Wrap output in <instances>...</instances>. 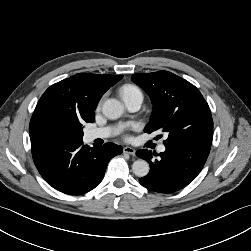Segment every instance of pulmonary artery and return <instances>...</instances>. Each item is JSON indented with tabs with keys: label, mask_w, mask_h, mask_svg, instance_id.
Wrapping results in <instances>:
<instances>
[{
	"label": "pulmonary artery",
	"mask_w": 251,
	"mask_h": 251,
	"mask_svg": "<svg viewBox=\"0 0 251 251\" xmlns=\"http://www.w3.org/2000/svg\"><path fill=\"white\" fill-rule=\"evenodd\" d=\"M127 108L130 111H137L140 109L143 98L142 97H133L127 100H124ZM114 134V129L111 127H102V128H95L86 131L85 137L88 141H93L99 138H108ZM166 147L164 144L159 145L158 151L164 152Z\"/></svg>",
	"instance_id": "1"
}]
</instances>
